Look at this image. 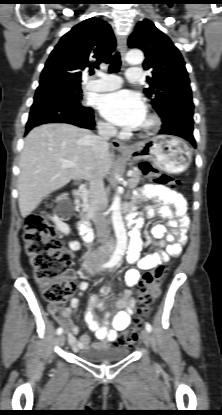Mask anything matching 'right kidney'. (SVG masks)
<instances>
[{
    "instance_id": "right-kidney-1",
    "label": "right kidney",
    "mask_w": 222,
    "mask_h": 415,
    "mask_svg": "<svg viewBox=\"0 0 222 415\" xmlns=\"http://www.w3.org/2000/svg\"><path fill=\"white\" fill-rule=\"evenodd\" d=\"M52 220L54 221V223L56 224V227L59 231H61L62 233H64L65 235H68L70 233V228L67 224L63 223L62 221H60V219L54 215L52 217Z\"/></svg>"
}]
</instances>
